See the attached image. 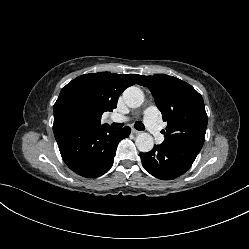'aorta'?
Segmentation results:
<instances>
[{
	"mask_svg": "<svg viewBox=\"0 0 249 249\" xmlns=\"http://www.w3.org/2000/svg\"><path fill=\"white\" fill-rule=\"evenodd\" d=\"M123 99L129 107L137 108L142 105L144 94L140 88L131 86L123 92ZM135 144L140 152H149L154 147V139L149 133L143 132L136 137Z\"/></svg>",
	"mask_w": 249,
	"mask_h": 249,
	"instance_id": "aorta-1",
	"label": "aorta"
}]
</instances>
